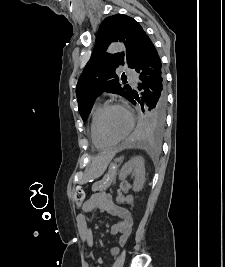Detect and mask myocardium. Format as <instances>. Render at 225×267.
I'll return each mask as SVG.
<instances>
[{"label": "myocardium", "mask_w": 225, "mask_h": 267, "mask_svg": "<svg viewBox=\"0 0 225 267\" xmlns=\"http://www.w3.org/2000/svg\"><path fill=\"white\" fill-rule=\"evenodd\" d=\"M116 108H120V109H123L126 111V113L129 116L130 123H129V126H128L126 133L121 138L112 140L104 134L102 126H103V120H104L106 114L110 110L116 109ZM133 127H134V117H133L132 113L130 112V110L127 107H125L124 105L119 104V103H111V104L105 105L103 107V109L101 110V112L97 118V121H96V130H97L98 136L100 137L101 140H103L104 142H106L110 145H117L119 143L124 142L128 138V136L130 135V133L132 132Z\"/></svg>", "instance_id": "f54148a6"}]
</instances>
